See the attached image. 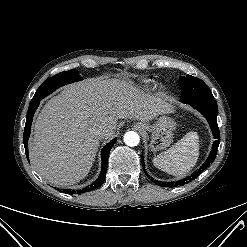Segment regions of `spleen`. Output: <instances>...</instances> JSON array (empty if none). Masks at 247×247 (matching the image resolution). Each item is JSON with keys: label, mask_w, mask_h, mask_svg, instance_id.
<instances>
[{"label": "spleen", "mask_w": 247, "mask_h": 247, "mask_svg": "<svg viewBox=\"0 0 247 247\" xmlns=\"http://www.w3.org/2000/svg\"><path fill=\"white\" fill-rule=\"evenodd\" d=\"M199 136L197 132H188L167 151L153 159L156 168L174 176H184L197 163L199 158Z\"/></svg>", "instance_id": "obj_1"}]
</instances>
